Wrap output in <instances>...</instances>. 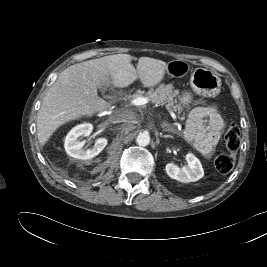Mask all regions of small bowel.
<instances>
[{"mask_svg":"<svg viewBox=\"0 0 267 267\" xmlns=\"http://www.w3.org/2000/svg\"><path fill=\"white\" fill-rule=\"evenodd\" d=\"M191 100L188 93L180 98L182 104H188ZM223 126L224 121L216 105L198 106L189 113L184 137L197 151L208 156L218 144Z\"/></svg>","mask_w":267,"mask_h":267,"instance_id":"1","label":"small bowel"}]
</instances>
